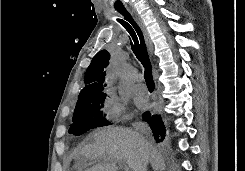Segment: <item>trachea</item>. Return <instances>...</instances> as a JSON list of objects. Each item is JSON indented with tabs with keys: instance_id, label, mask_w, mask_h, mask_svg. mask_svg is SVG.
Segmentation results:
<instances>
[{
	"instance_id": "3493384b",
	"label": "trachea",
	"mask_w": 245,
	"mask_h": 171,
	"mask_svg": "<svg viewBox=\"0 0 245 171\" xmlns=\"http://www.w3.org/2000/svg\"><path fill=\"white\" fill-rule=\"evenodd\" d=\"M114 7L123 16V19H118L117 21L129 33L132 51L145 68L144 78L147 86H154L152 66L140 27L121 1L115 2Z\"/></svg>"
}]
</instances>
